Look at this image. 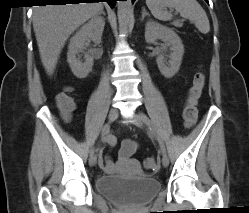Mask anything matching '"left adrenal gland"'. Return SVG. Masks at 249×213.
<instances>
[{
  "mask_svg": "<svg viewBox=\"0 0 249 213\" xmlns=\"http://www.w3.org/2000/svg\"><path fill=\"white\" fill-rule=\"evenodd\" d=\"M145 16H149V13L146 11L145 7L142 8V18L141 20H144Z\"/></svg>",
  "mask_w": 249,
  "mask_h": 213,
  "instance_id": "left-adrenal-gland-1",
  "label": "left adrenal gland"
}]
</instances>
